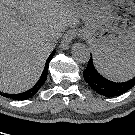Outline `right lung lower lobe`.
Instances as JSON below:
<instances>
[{
    "label": "right lung lower lobe",
    "mask_w": 135,
    "mask_h": 135,
    "mask_svg": "<svg viewBox=\"0 0 135 135\" xmlns=\"http://www.w3.org/2000/svg\"><path fill=\"white\" fill-rule=\"evenodd\" d=\"M54 54H55V50L48 57V59L46 61L45 68H44V70L42 72V75H41L40 79L38 80V82L31 89H29L26 92L19 93V94H7V93H0V94L5 96V97L14 99V100H26V99L32 97L41 88V86L46 81L47 74H48V65H49V62L52 59Z\"/></svg>",
    "instance_id": "right-lung-lower-lobe-1"
}]
</instances>
